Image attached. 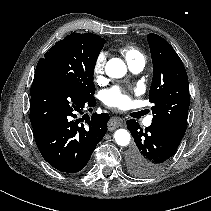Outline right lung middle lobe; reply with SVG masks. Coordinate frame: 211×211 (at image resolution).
Here are the masks:
<instances>
[{"instance_id":"right-lung-middle-lobe-1","label":"right lung middle lobe","mask_w":211,"mask_h":211,"mask_svg":"<svg viewBox=\"0 0 211 211\" xmlns=\"http://www.w3.org/2000/svg\"><path fill=\"white\" fill-rule=\"evenodd\" d=\"M103 45L87 33H72L45 53L35 72L54 74L74 84L85 96L93 97L94 67Z\"/></svg>"}]
</instances>
